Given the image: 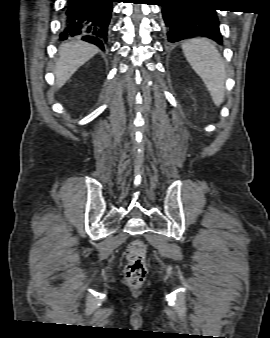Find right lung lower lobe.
<instances>
[{
    "label": "right lung lower lobe",
    "mask_w": 270,
    "mask_h": 338,
    "mask_svg": "<svg viewBox=\"0 0 270 338\" xmlns=\"http://www.w3.org/2000/svg\"><path fill=\"white\" fill-rule=\"evenodd\" d=\"M116 0H67L60 40L79 37L107 48L112 3Z\"/></svg>",
    "instance_id": "obj_1"
}]
</instances>
